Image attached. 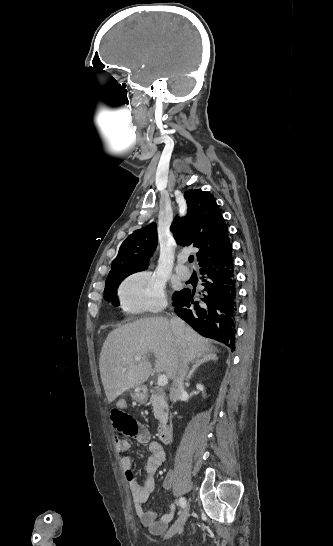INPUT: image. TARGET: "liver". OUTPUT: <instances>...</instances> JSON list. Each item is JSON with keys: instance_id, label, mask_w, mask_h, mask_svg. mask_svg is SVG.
<instances>
[{"instance_id": "1", "label": "liver", "mask_w": 333, "mask_h": 546, "mask_svg": "<svg viewBox=\"0 0 333 546\" xmlns=\"http://www.w3.org/2000/svg\"><path fill=\"white\" fill-rule=\"evenodd\" d=\"M184 338L178 340L168 319L147 317L113 330L108 334L99 359L102 384L108 402L126 390L143 384L152 372L150 355L155 356L154 369L174 379L185 356L214 354L217 350L205 338L183 324ZM135 357H142L135 361ZM125 369V370H124Z\"/></svg>"}]
</instances>
